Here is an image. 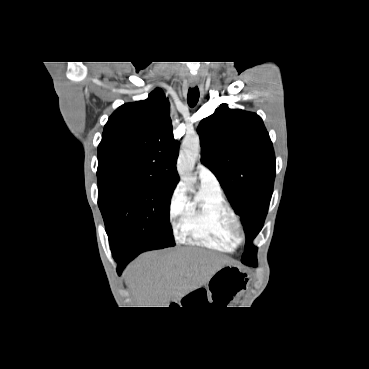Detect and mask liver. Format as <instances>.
Instances as JSON below:
<instances>
[{"label": "liver", "instance_id": "liver-1", "mask_svg": "<svg viewBox=\"0 0 369 369\" xmlns=\"http://www.w3.org/2000/svg\"><path fill=\"white\" fill-rule=\"evenodd\" d=\"M225 263L217 253L192 247L147 252L127 267L125 282L138 307H168L206 284Z\"/></svg>", "mask_w": 369, "mask_h": 369}]
</instances>
